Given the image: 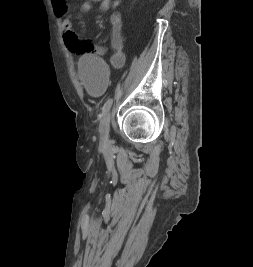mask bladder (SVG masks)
Here are the masks:
<instances>
[{
    "label": "bladder",
    "instance_id": "obj_1",
    "mask_svg": "<svg viewBox=\"0 0 253 267\" xmlns=\"http://www.w3.org/2000/svg\"><path fill=\"white\" fill-rule=\"evenodd\" d=\"M78 76L88 93L99 95L105 91L106 64L100 56L83 55L78 63Z\"/></svg>",
    "mask_w": 253,
    "mask_h": 267
}]
</instances>
